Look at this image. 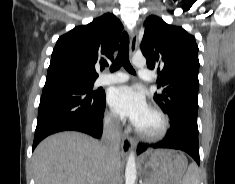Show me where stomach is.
I'll list each match as a JSON object with an SVG mask.
<instances>
[{
	"label": "stomach",
	"instance_id": "1",
	"mask_svg": "<svg viewBox=\"0 0 235 184\" xmlns=\"http://www.w3.org/2000/svg\"><path fill=\"white\" fill-rule=\"evenodd\" d=\"M188 162L178 150H151L139 158V168L145 184H180Z\"/></svg>",
	"mask_w": 235,
	"mask_h": 184
}]
</instances>
